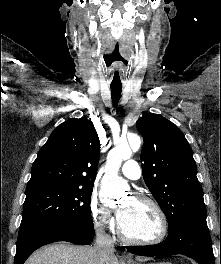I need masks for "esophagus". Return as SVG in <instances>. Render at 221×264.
I'll use <instances>...</instances> for the list:
<instances>
[{"label": "esophagus", "mask_w": 221, "mask_h": 264, "mask_svg": "<svg viewBox=\"0 0 221 264\" xmlns=\"http://www.w3.org/2000/svg\"><path fill=\"white\" fill-rule=\"evenodd\" d=\"M122 258L127 261L131 259L125 252L122 253Z\"/></svg>", "instance_id": "34e87169"}]
</instances>
